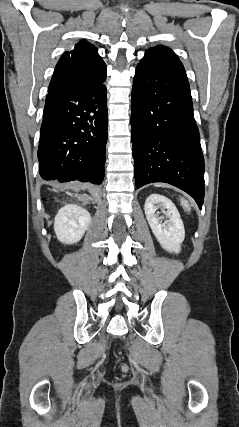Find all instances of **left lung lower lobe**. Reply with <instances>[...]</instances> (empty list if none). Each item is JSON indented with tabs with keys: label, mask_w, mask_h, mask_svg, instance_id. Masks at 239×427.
I'll return each instance as SVG.
<instances>
[{
	"label": "left lung lower lobe",
	"mask_w": 239,
	"mask_h": 427,
	"mask_svg": "<svg viewBox=\"0 0 239 427\" xmlns=\"http://www.w3.org/2000/svg\"><path fill=\"white\" fill-rule=\"evenodd\" d=\"M136 187L165 182L204 200V158L188 80L139 62L132 87Z\"/></svg>",
	"instance_id": "0a47b994"
}]
</instances>
